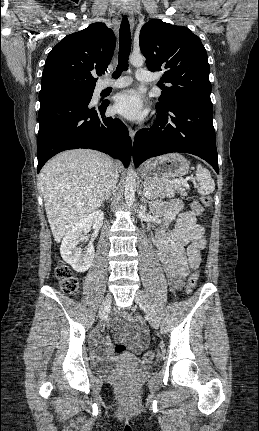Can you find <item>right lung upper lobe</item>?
Here are the masks:
<instances>
[{"mask_svg":"<svg viewBox=\"0 0 259 431\" xmlns=\"http://www.w3.org/2000/svg\"><path fill=\"white\" fill-rule=\"evenodd\" d=\"M115 44L113 31L100 22L66 36L46 59L41 90L60 82L94 89L96 79L92 73H104L107 70Z\"/></svg>","mask_w":259,"mask_h":431,"instance_id":"obj_1","label":"right lung upper lobe"}]
</instances>
